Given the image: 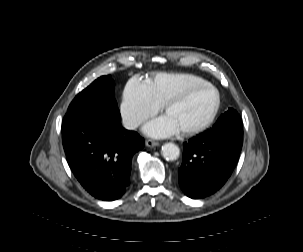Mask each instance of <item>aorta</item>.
<instances>
[{"instance_id": "762f6f07", "label": "aorta", "mask_w": 303, "mask_h": 252, "mask_svg": "<svg viewBox=\"0 0 303 252\" xmlns=\"http://www.w3.org/2000/svg\"><path fill=\"white\" fill-rule=\"evenodd\" d=\"M162 156L169 161L178 159L180 155L179 147L174 143H165L161 149Z\"/></svg>"}]
</instances>
